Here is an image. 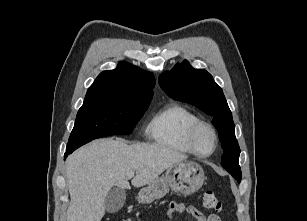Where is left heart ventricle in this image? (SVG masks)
I'll return each instance as SVG.
<instances>
[{"mask_svg": "<svg viewBox=\"0 0 307 221\" xmlns=\"http://www.w3.org/2000/svg\"><path fill=\"white\" fill-rule=\"evenodd\" d=\"M198 150L202 153H209L213 147V138L210 132L206 129H201L195 139Z\"/></svg>", "mask_w": 307, "mask_h": 221, "instance_id": "left-heart-ventricle-1", "label": "left heart ventricle"}]
</instances>
